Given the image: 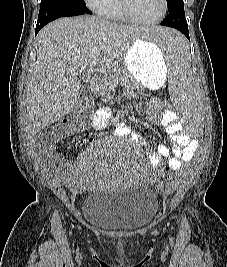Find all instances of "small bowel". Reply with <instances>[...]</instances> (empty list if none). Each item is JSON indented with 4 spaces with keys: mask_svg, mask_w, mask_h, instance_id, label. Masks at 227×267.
<instances>
[{
    "mask_svg": "<svg viewBox=\"0 0 227 267\" xmlns=\"http://www.w3.org/2000/svg\"><path fill=\"white\" fill-rule=\"evenodd\" d=\"M149 120L160 124L165 128L171 137V146L160 144L151 145L142 136L131 132L125 125L118 124L115 127V133L119 136H127L139 140L144 144L148 151V159L154 166L164 169H180L184 161H189L194 152L199 147V141L194 137H187L182 130L178 117L171 109H163L157 99L149 100ZM111 112L108 108L102 107L96 110L92 120V126L96 131H104L108 128ZM76 128H69L67 133L76 132ZM90 140L84 139L80 143L88 144ZM166 159V162L164 161ZM60 170L64 178L71 184L85 188L90 179L86 163L72 166L67 162H61Z\"/></svg>",
    "mask_w": 227,
    "mask_h": 267,
    "instance_id": "1",
    "label": "small bowel"
}]
</instances>
